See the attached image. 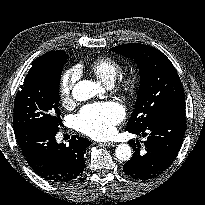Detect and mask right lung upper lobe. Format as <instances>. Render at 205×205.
Returning a JSON list of instances; mask_svg holds the SVG:
<instances>
[{
	"label": "right lung upper lobe",
	"instance_id": "cb5924a9",
	"mask_svg": "<svg viewBox=\"0 0 205 205\" xmlns=\"http://www.w3.org/2000/svg\"><path fill=\"white\" fill-rule=\"evenodd\" d=\"M67 56V54L64 51H50L42 56L37 57L33 62H32V67L31 69L38 68L47 64L55 63L59 61L60 59L64 58Z\"/></svg>",
	"mask_w": 205,
	"mask_h": 205
}]
</instances>
